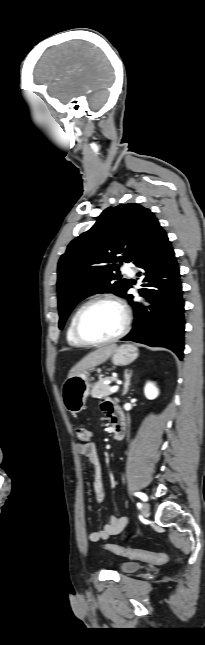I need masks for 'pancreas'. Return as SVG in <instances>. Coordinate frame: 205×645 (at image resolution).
I'll return each mask as SVG.
<instances>
[{
	"mask_svg": "<svg viewBox=\"0 0 205 645\" xmlns=\"http://www.w3.org/2000/svg\"><path fill=\"white\" fill-rule=\"evenodd\" d=\"M116 378L114 377H106L100 379L92 388L91 390V395L94 398H102L105 396H108L111 394L110 389L111 386L108 384H105L104 382L107 380H115Z\"/></svg>",
	"mask_w": 205,
	"mask_h": 645,
	"instance_id": "obj_1",
	"label": "pancreas"
}]
</instances>
